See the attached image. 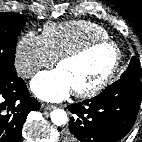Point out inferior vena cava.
<instances>
[{"instance_id": "inferior-vena-cava-1", "label": "inferior vena cava", "mask_w": 142, "mask_h": 142, "mask_svg": "<svg viewBox=\"0 0 142 142\" xmlns=\"http://www.w3.org/2000/svg\"><path fill=\"white\" fill-rule=\"evenodd\" d=\"M34 73H35V70H34V69H28L27 71H25V72L23 73V76H24V77H30V76H32Z\"/></svg>"}]
</instances>
